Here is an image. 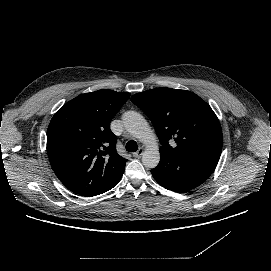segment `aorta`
<instances>
[{
	"label": "aorta",
	"mask_w": 271,
	"mask_h": 271,
	"mask_svg": "<svg viewBox=\"0 0 271 271\" xmlns=\"http://www.w3.org/2000/svg\"><path fill=\"white\" fill-rule=\"evenodd\" d=\"M125 129L146 145L142 155V164L146 168H155L160 162L159 147L156 136L146 119L136 111H126L122 114Z\"/></svg>",
	"instance_id": "762f6f07"
}]
</instances>
